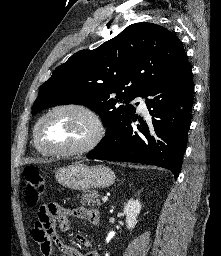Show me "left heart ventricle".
Instances as JSON below:
<instances>
[{"mask_svg":"<svg viewBox=\"0 0 221 256\" xmlns=\"http://www.w3.org/2000/svg\"><path fill=\"white\" fill-rule=\"evenodd\" d=\"M92 132L93 125L86 115L76 110H61L43 122L40 139L50 148H72L87 141Z\"/></svg>","mask_w":221,"mask_h":256,"instance_id":"1","label":"left heart ventricle"}]
</instances>
